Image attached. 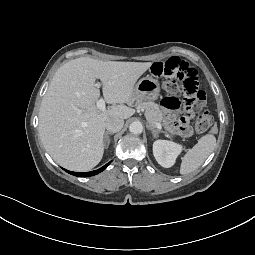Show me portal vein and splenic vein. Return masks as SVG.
Returning a JSON list of instances; mask_svg holds the SVG:
<instances>
[{
  "label": "portal vein and splenic vein",
  "mask_w": 255,
  "mask_h": 255,
  "mask_svg": "<svg viewBox=\"0 0 255 255\" xmlns=\"http://www.w3.org/2000/svg\"><path fill=\"white\" fill-rule=\"evenodd\" d=\"M95 85H96L97 87L100 86V84H95ZM96 104H97V108H98V109H100V110H102V111L105 110V101H104L103 98H100V99L97 101ZM154 125H155V127H156L157 129H161V128H162V126H161V124H160L159 122H155Z\"/></svg>",
  "instance_id": "obj_1"
}]
</instances>
